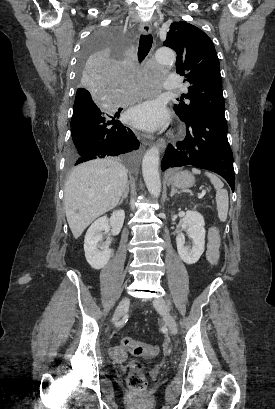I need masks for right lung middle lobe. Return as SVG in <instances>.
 <instances>
[{"label": "right lung middle lobe", "instance_id": "right-lung-middle-lobe-1", "mask_svg": "<svg viewBox=\"0 0 275 409\" xmlns=\"http://www.w3.org/2000/svg\"><path fill=\"white\" fill-rule=\"evenodd\" d=\"M127 30H114L105 25L94 30L84 43L83 57H79L74 76L79 89L76 93L71 119L72 140L67 164L62 166V177L68 178L73 166L83 162L111 158L137 173L140 163V143L132 130L124 125V105L128 96H111L110 91H128L129 83L122 82L121 58L116 51H130Z\"/></svg>", "mask_w": 275, "mask_h": 409}]
</instances>
